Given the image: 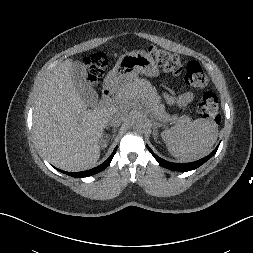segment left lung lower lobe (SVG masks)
<instances>
[{"mask_svg": "<svg viewBox=\"0 0 253 253\" xmlns=\"http://www.w3.org/2000/svg\"><path fill=\"white\" fill-rule=\"evenodd\" d=\"M219 145L206 157L197 160L195 162H191V163H172V162H168L163 160L162 158L158 157L148 146V150L151 152V154L154 156V158L158 161V163L160 165H162L163 167L170 169V170H174V171H190L193 169L198 168L199 166H201L202 164H204L207 160H209L217 151Z\"/></svg>", "mask_w": 253, "mask_h": 253, "instance_id": "obj_1", "label": "left lung lower lobe"}]
</instances>
